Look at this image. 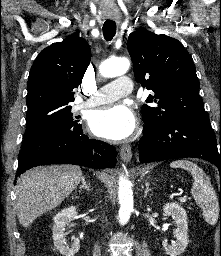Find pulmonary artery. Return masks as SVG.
<instances>
[{
	"label": "pulmonary artery",
	"instance_id": "1",
	"mask_svg": "<svg viewBox=\"0 0 221 256\" xmlns=\"http://www.w3.org/2000/svg\"><path fill=\"white\" fill-rule=\"evenodd\" d=\"M131 92V79L126 76H121L99 88L92 97L86 100L84 106L94 107L100 104L112 102L121 97L129 95Z\"/></svg>",
	"mask_w": 221,
	"mask_h": 256
}]
</instances>
